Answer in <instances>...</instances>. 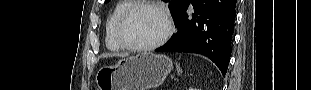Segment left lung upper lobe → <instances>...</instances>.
I'll use <instances>...</instances> for the list:
<instances>
[{
	"label": "left lung upper lobe",
	"mask_w": 311,
	"mask_h": 90,
	"mask_svg": "<svg viewBox=\"0 0 311 90\" xmlns=\"http://www.w3.org/2000/svg\"><path fill=\"white\" fill-rule=\"evenodd\" d=\"M110 0H105V3L109 2ZM169 1V9L173 14L174 18L177 19L181 12L186 8V6L192 0H168Z\"/></svg>",
	"instance_id": "5c2ea615"
}]
</instances>
